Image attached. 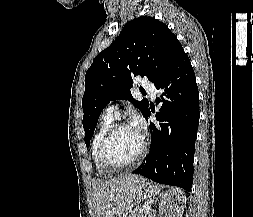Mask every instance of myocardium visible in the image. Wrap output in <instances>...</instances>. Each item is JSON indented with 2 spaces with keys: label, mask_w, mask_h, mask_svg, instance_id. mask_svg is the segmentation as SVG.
I'll return each instance as SVG.
<instances>
[{
  "label": "myocardium",
  "mask_w": 253,
  "mask_h": 217,
  "mask_svg": "<svg viewBox=\"0 0 253 217\" xmlns=\"http://www.w3.org/2000/svg\"><path fill=\"white\" fill-rule=\"evenodd\" d=\"M127 126H130V124L127 122L113 123L108 128V130L105 132V134L103 135V137L100 140L99 147H98L99 162H100L101 166L109 172H119V171H122V170H125V169L135 166L143 159V157L145 156V153L147 151L148 138H147L146 134L142 133V146H141L139 153L136 155V157L133 160H131L128 163L120 164V165L114 164L108 160V158L106 156V146H107L108 141L110 140V138L113 136V134L117 130H119L120 128H123V127H127Z\"/></svg>",
  "instance_id": "myocardium-1"
}]
</instances>
